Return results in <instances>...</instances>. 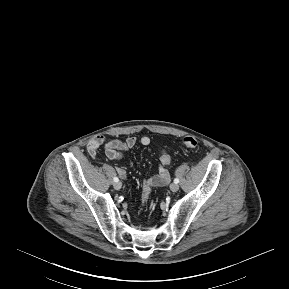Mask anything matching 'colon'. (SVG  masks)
Returning a JSON list of instances; mask_svg holds the SVG:
<instances>
[{
  "mask_svg": "<svg viewBox=\"0 0 289 289\" xmlns=\"http://www.w3.org/2000/svg\"><path fill=\"white\" fill-rule=\"evenodd\" d=\"M182 143L187 148H195L198 145L197 140L192 136H185L182 139ZM160 163L162 165H169L171 162V157L166 151H162L159 156ZM151 197V188L147 185H143L142 188V200L144 204H147Z\"/></svg>",
  "mask_w": 289,
  "mask_h": 289,
  "instance_id": "1",
  "label": "colon"
}]
</instances>
